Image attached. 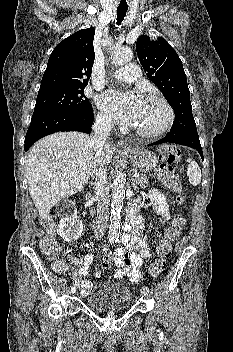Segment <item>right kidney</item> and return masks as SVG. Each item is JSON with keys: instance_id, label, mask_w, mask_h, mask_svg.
<instances>
[{"instance_id": "right-kidney-1", "label": "right kidney", "mask_w": 233, "mask_h": 352, "mask_svg": "<svg viewBox=\"0 0 233 352\" xmlns=\"http://www.w3.org/2000/svg\"><path fill=\"white\" fill-rule=\"evenodd\" d=\"M72 213L61 218L58 225V233L66 242L76 241L82 234L83 223L77 218L75 206Z\"/></svg>"}]
</instances>
